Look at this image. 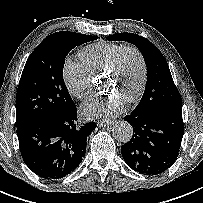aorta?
Here are the masks:
<instances>
[{
    "label": "aorta",
    "mask_w": 203,
    "mask_h": 203,
    "mask_svg": "<svg viewBox=\"0 0 203 203\" xmlns=\"http://www.w3.org/2000/svg\"><path fill=\"white\" fill-rule=\"evenodd\" d=\"M114 137L123 143H127L133 136V127L126 121H118L113 126Z\"/></svg>",
    "instance_id": "aorta-1"
}]
</instances>
